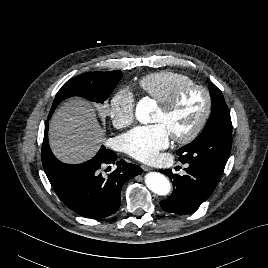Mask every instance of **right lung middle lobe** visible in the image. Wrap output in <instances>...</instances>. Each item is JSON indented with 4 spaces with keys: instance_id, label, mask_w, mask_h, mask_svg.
I'll use <instances>...</instances> for the list:
<instances>
[{
    "instance_id": "obj_1",
    "label": "right lung middle lobe",
    "mask_w": 268,
    "mask_h": 268,
    "mask_svg": "<svg viewBox=\"0 0 268 268\" xmlns=\"http://www.w3.org/2000/svg\"><path fill=\"white\" fill-rule=\"evenodd\" d=\"M88 75L91 77H94L96 80L100 82V87L98 91L96 92H77V84H78V76L70 79L67 81L62 88L64 87L63 91L61 93L60 90L58 91L53 104L59 100L61 102L62 100L68 98L62 96L68 92H74L77 93L78 96H82L90 101L97 102V103H103L111 94L117 83L119 82L122 73H118L115 76L106 75L104 72H88ZM71 97V96H70ZM60 162V161H59ZM45 173L53 186L55 192L59 191L62 188L63 181L61 179V175L59 172H54L48 170L44 166Z\"/></svg>"
}]
</instances>
